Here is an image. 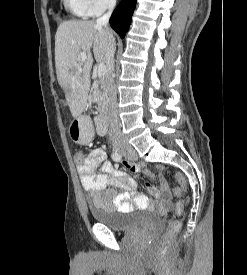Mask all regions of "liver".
<instances>
[{
  "label": "liver",
  "instance_id": "1",
  "mask_svg": "<svg viewBox=\"0 0 247 275\" xmlns=\"http://www.w3.org/2000/svg\"><path fill=\"white\" fill-rule=\"evenodd\" d=\"M108 34L93 21L70 20L60 23L55 34V67L57 79L65 92L74 118L87 105L93 54L100 64L106 63ZM81 52L87 56L83 60ZM81 68V71L79 70ZM106 69L109 71L107 63Z\"/></svg>",
  "mask_w": 247,
  "mask_h": 275
}]
</instances>
